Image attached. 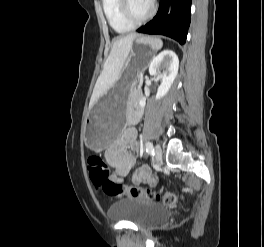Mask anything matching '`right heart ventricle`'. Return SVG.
I'll return each mask as SVG.
<instances>
[{
    "mask_svg": "<svg viewBox=\"0 0 264 247\" xmlns=\"http://www.w3.org/2000/svg\"><path fill=\"white\" fill-rule=\"evenodd\" d=\"M119 3V0H102V8L112 29L117 33H125L130 31L133 26L122 17Z\"/></svg>",
    "mask_w": 264,
    "mask_h": 247,
    "instance_id": "1",
    "label": "right heart ventricle"
}]
</instances>
